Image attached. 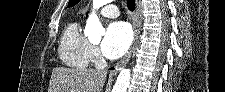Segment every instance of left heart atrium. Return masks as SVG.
I'll return each mask as SVG.
<instances>
[{
  "instance_id": "1",
  "label": "left heart atrium",
  "mask_w": 225,
  "mask_h": 92,
  "mask_svg": "<svg viewBox=\"0 0 225 92\" xmlns=\"http://www.w3.org/2000/svg\"><path fill=\"white\" fill-rule=\"evenodd\" d=\"M132 41V29L126 22L117 21L109 24L103 39L102 53L109 59L121 57Z\"/></svg>"
}]
</instances>
